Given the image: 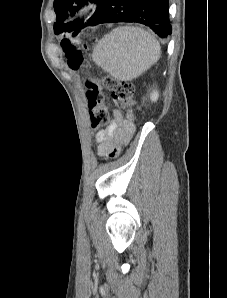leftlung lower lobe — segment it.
<instances>
[{
    "label": "left lung lower lobe",
    "mask_w": 227,
    "mask_h": 298,
    "mask_svg": "<svg viewBox=\"0 0 227 298\" xmlns=\"http://www.w3.org/2000/svg\"><path fill=\"white\" fill-rule=\"evenodd\" d=\"M137 22L149 26L160 37L171 34L168 0H107L96 25Z\"/></svg>",
    "instance_id": "left-lung-lower-lobe-1"
}]
</instances>
